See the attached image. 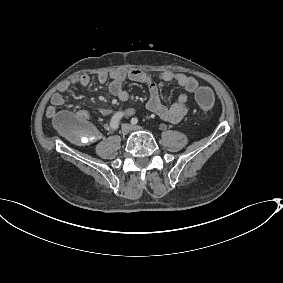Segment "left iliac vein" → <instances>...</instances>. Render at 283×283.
Instances as JSON below:
<instances>
[{"label": "left iliac vein", "instance_id": "4c4485c4", "mask_svg": "<svg viewBox=\"0 0 283 283\" xmlns=\"http://www.w3.org/2000/svg\"><path fill=\"white\" fill-rule=\"evenodd\" d=\"M131 129L132 130H141L142 128L140 126L133 125V126H131Z\"/></svg>", "mask_w": 283, "mask_h": 283}]
</instances>
